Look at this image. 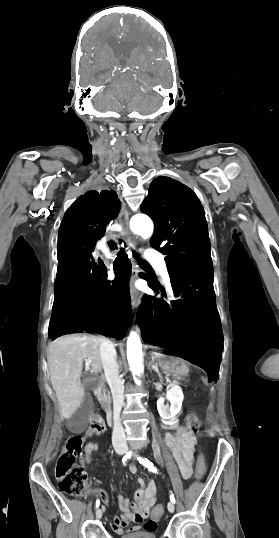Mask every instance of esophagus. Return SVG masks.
Wrapping results in <instances>:
<instances>
[{
  "label": "esophagus",
  "mask_w": 279,
  "mask_h": 538,
  "mask_svg": "<svg viewBox=\"0 0 279 538\" xmlns=\"http://www.w3.org/2000/svg\"><path fill=\"white\" fill-rule=\"evenodd\" d=\"M117 221L122 227V235L125 237V239L131 246L135 247L134 238L129 228V214L125 206H122V209L117 217ZM137 273H138L137 264L135 260H132V276H131L130 294H131L133 308H135V306L139 302V292L135 287V281L138 277Z\"/></svg>",
  "instance_id": "1"
}]
</instances>
